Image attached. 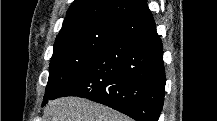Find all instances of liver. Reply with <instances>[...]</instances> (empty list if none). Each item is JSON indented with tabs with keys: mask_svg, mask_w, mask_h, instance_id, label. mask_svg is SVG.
<instances>
[{
	"mask_svg": "<svg viewBox=\"0 0 217 121\" xmlns=\"http://www.w3.org/2000/svg\"><path fill=\"white\" fill-rule=\"evenodd\" d=\"M45 121H131L113 109L79 97L52 100L44 110Z\"/></svg>",
	"mask_w": 217,
	"mask_h": 121,
	"instance_id": "liver-1",
	"label": "liver"
}]
</instances>
